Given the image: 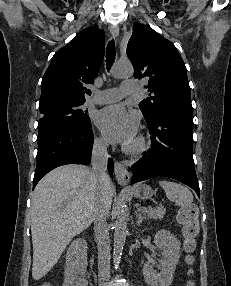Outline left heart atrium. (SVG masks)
Wrapping results in <instances>:
<instances>
[{
  "mask_svg": "<svg viewBox=\"0 0 231 286\" xmlns=\"http://www.w3.org/2000/svg\"><path fill=\"white\" fill-rule=\"evenodd\" d=\"M95 121L111 143L130 145L136 139L137 120L122 105L105 107L98 112Z\"/></svg>",
  "mask_w": 231,
  "mask_h": 286,
  "instance_id": "obj_1",
  "label": "left heart atrium"
}]
</instances>
